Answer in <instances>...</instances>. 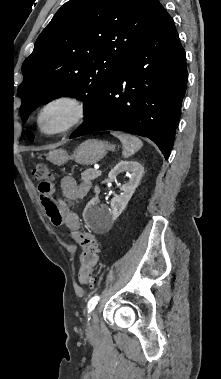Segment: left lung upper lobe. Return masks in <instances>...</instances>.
I'll return each mask as SVG.
<instances>
[{
    "instance_id": "left-lung-upper-lobe-1",
    "label": "left lung upper lobe",
    "mask_w": 221,
    "mask_h": 379,
    "mask_svg": "<svg viewBox=\"0 0 221 379\" xmlns=\"http://www.w3.org/2000/svg\"><path fill=\"white\" fill-rule=\"evenodd\" d=\"M158 0H70L39 35L22 65L23 122L41 103L62 96L84 102L98 93L159 21ZM30 142L34 135L28 131Z\"/></svg>"
}]
</instances>
